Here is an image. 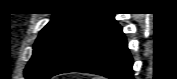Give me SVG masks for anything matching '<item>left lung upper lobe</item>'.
I'll use <instances>...</instances> for the list:
<instances>
[{"label": "left lung upper lobe", "instance_id": "obj_1", "mask_svg": "<svg viewBox=\"0 0 177 79\" xmlns=\"http://www.w3.org/2000/svg\"><path fill=\"white\" fill-rule=\"evenodd\" d=\"M109 14L55 13L41 30L25 68L27 79H49L71 49Z\"/></svg>", "mask_w": 177, "mask_h": 79}]
</instances>
